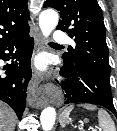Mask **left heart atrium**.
I'll return each instance as SVG.
<instances>
[{
    "mask_svg": "<svg viewBox=\"0 0 117 131\" xmlns=\"http://www.w3.org/2000/svg\"><path fill=\"white\" fill-rule=\"evenodd\" d=\"M39 66L42 68V67H44V62L43 61H40L39 62Z\"/></svg>",
    "mask_w": 117,
    "mask_h": 131,
    "instance_id": "1",
    "label": "left heart atrium"
}]
</instances>
